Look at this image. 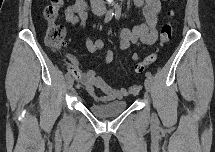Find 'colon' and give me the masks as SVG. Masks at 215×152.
I'll list each match as a JSON object with an SVG mask.
<instances>
[{
    "instance_id": "obj_1",
    "label": "colon",
    "mask_w": 215,
    "mask_h": 152,
    "mask_svg": "<svg viewBox=\"0 0 215 152\" xmlns=\"http://www.w3.org/2000/svg\"><path fill=\"white\" fill-rule=\"evenodd\" d=\"M64 4V0H51L44 10V17L47 21L45 30V42L46 45L53 49H60L64 45L65 41V29L62 25L56 23V19L61 7ZM169 17L173 16V12H168ZM173 33V25L171 21L165 22L160 30L159 45L163 46L167 44ZM157 58V52L148 55L143 61L137 62L134 65L135 73L141 74L145 69L152 64ZM69 71L76 77L79 74V69L75 65L69 66Z\"/></svg>"
}]
</instances>
